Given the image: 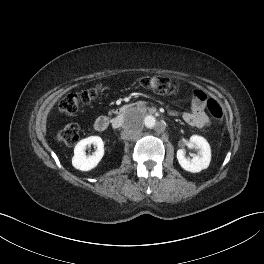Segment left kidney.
<instances>
[{"instance_id": "left-kidney-1", "label": "left kidney", "mask_w": 264, "mask_h": 264, "mask_svg": "<svg viewBox=\"0 0 264 264\" xmlns=\"http://www.w3.org/2000/svg\"><path fill=\"white\" fill-rule=\"evenodd\" d=\"M190 142L198 149L197 155L192 159L185 157L183 149L177 151V160L180 166L186 171L196 173L206 169L211 161V149L207 140L199 135H192Z\"/></svg>"}]
</instances>
